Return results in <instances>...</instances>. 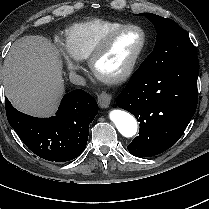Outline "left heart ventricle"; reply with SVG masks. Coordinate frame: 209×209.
I'll list each match as a JSON object with an SVG mask.
<instances>
[{"mask_svg": "<svg viewBox=\"0 0 209 209\" xmlns=\"http://www.w3.org/2000/svg\"><path fill=\"white\" fill-rule=\"evenodd\" d=\"M141 41V33L137 30H126L115 35L97 65L98 70L107 75L120 72L138 50Z\"/></svg>", "mask_w": 209, "mask_h": 209, "instance_id": "b2bd125f", "label": "left heart ventricle"}]
</instances>
